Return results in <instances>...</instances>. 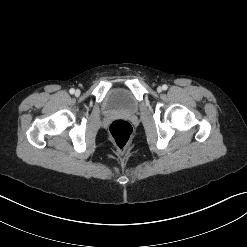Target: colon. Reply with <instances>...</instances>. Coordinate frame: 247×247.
Listing matches in <instances>:
<instances>
[{
    "mask_svg": "<svg viewBox=\"0 0 247 247\" xmlns=\"http://www.w3.org/2000/svg\"><path fill=\"white\" fill-rule=\"evenodd\" d=\"M133 128L125 120H115L109 126V135L120 152H123L132 137Z\"/></svg>",
    "mask_w": 247,
    "mask_h": 247,
    "instance_id": "colon-1",
    "label": "colon"
}]
</instances>
